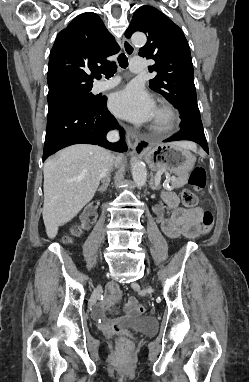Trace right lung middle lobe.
Here are the masks:
<instances>
[{"label":"right lung middle lobe","mask_w":249,"mask_h":382,"mask_svg":"<svg viewBox=\"0 0 249 382\" xmlns=\"http://www.w3.org/2000/svg\"><path fill=\"white\" fill-rule=\"evenodd\" d=\"M91 89L78 92L60 100L48 103V118L53 119L61 114L74 110L92 109L97 104V96H94Z\"/></svg>","instance_id":"obj_1"}]
</instances>
